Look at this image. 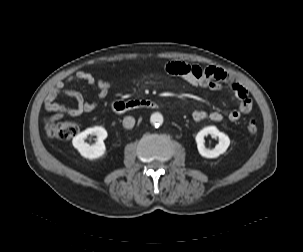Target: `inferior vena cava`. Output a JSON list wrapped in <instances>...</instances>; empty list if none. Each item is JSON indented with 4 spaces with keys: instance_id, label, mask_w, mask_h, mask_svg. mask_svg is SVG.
<instances>
[{
    "instance_id": "inferior-vena-cava-1",
    "label": "inferior vena cava",
    "mask_w": 303,
    "mask_h": 252,
    "mask_svg": "<svg viewBox=\"0 0 303 252\" xmlns=\"http://www.w3.org/2000/svg\"><path fill=\"white\" fill-rule=\"evenodd\" d=\"M135 124V119L131 116H126L124 119H123V126L124 128L126 129H131L133 128Z\"/></svg>"
}]
</instances>
